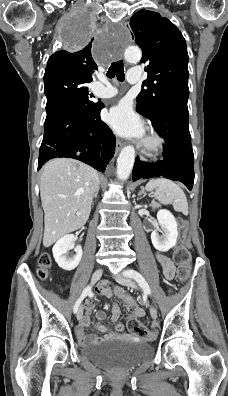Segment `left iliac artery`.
Wrapping results in <instances>:
<instances>
[{
    "instance_id": "44dca946",
    "label": "left iliac artery",
    "mask_w": 228,
    "mask_h": 396,
    "mask_svg": "<svg viewBox=\"0 0 228 396\" xmlns=\"http://www.w3.org/2000/svg\"><path fill=\"white\" fill-rule=\"evenodd\" d=\"M124 275L129 278H133L139 284V286L142 288L145 294L151 295L152 292L147 281L139 272L130 269L125 271Z\"/></svg>"
}]
</instances>
